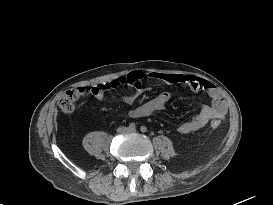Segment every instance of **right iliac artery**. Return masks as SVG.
Returning <instances> with one entry per match:
<instances>
[{"mask_svg": "<svg viewBox=\"0 0 273 205\" xmlns=\"http://www.w3.org/2000/svg\"><path fill=\"white\" fill-rule=\"evenodd\" d=\"M136 128V124L135 123H130L129 124V129H135Z\"/></svg>", "mask_w": 273, "mask_h": 205, "instance_id": "right-iliac-artery-1", "label": "right iliac artery"}]
</instances>
